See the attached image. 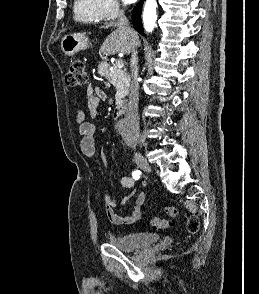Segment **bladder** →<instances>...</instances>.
Instances as JSON below:
<instances>
[{
	"instance_id": "bladder-1",
	"label": "bladder",
	"mask_w": 259,
	"mask_h": 294,
	"mask_svg": "<svg viewBox=\"0 0 259 294\" xmlns=\"http://www.w3.org/2000/svg\"><path fill=\"white\" fill-rule=\"evenodd\" d=\"M159 239V234L153 232L125 233L113 236L109 243L122 251H135L151 244Z\"/></svg>"
}]
</instances>
